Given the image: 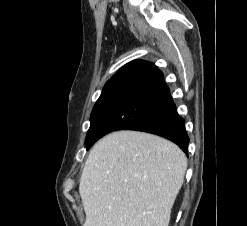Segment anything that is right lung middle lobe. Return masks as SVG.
<instances>
[{
    "instance_id": "dd1d6c3e",
    "label": "right lung middle lobe",
    "mask_w": 247,
    "mask_h": 226,
    "mask_svg": "<svg viewBox=\"0 0 247 226\" xmlns=\"http://www.w3.org/2000/svg\"><path fill=\"white\" fill-rule=\"evenodd\" d=\"M120 71H121V69L105 84L103 91H102L99 99L97 100V102H96V104L92 110L91 118H90L91 125H90L88 132H87L86 143L88 142V140L92 136L93 129H94L95 125L97 124V122H98V120L102 114V111L106 105V102H107L115 84L117 83Z\"/></svg>"
}]
</instances>
